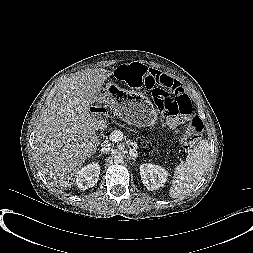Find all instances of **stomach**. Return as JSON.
I'll use <instances>...</instances> for the list:
<instances>
[{
    "instance_id": "obj_1",
    "label": "stomach",
    "mask_w": 253,
    "mask_h": 253,
    "mask_svg": "<svg viewBox=\"0 0 253 253\" xmlns=\"http://www.w3.org/2000/svg\"><path fill=\"white\" fill-rule=\"evenodd\" d=\"M110 104L113 113L128 124L151 127L156 124L157 112L145 96L109 84L97 100Z\"/></svg>"
}]
</instances>
